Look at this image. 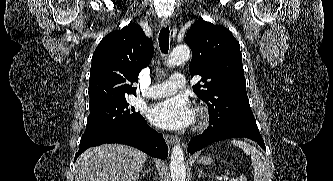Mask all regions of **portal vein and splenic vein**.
<instances>
[{
	"instance_id": "18ae733b",
	"label": "portal vein and splenic vein",
	"mask_w": 333,
	"mask_h": 181,
	"mask_svg": "<svg viewBox=\"0 0 333 181\" xmlns=\"http://www.w3.org/2000/svg\"><path fill=\"white\" fill-rule=\"evenodd\" d=\"M220 179H221V180H224V181H227V180L229 179V176L224 175V176H222Z\"/></svg>"
}]
</instances>
